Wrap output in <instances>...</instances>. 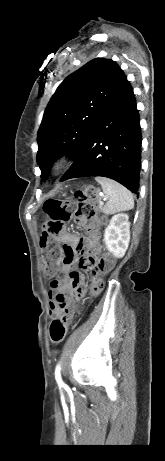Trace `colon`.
Returning <instances> with one entry per match:
<instances>
[{
  "mask_svg": "<svg viewBox=\"0 0 165 461\" xmlns=\"http://www.w3.org/2000/svg\"><path fill=\"white\" fill-rule=\"evenodd\" d=\"M96 197V190L93 187H86L77 190L74 200L51 199L44 204V212L49 216L42 226L41 246L44 248L43 259L45 263V274L47 277L55 275V269L60 262L61 251L69 250V245H61L58 238L63 232V225L74 214L81 219H93L94 209L90 201ZM107 222L105 217L99 219L101 225ZM90 266H95L99 270L108 271L112 268L113 259L109 255L90 257ZM103 288V281L94 277L90 292L93 296L97 295ZM50 339L54 344L61 343L67 334V325L63 318H55L50 325Z\"/></svg>",
  "mask_w": 165,
  "mask_h": 461,
  "instance_id": "5ec220e1",
  "label": "colon"
}]
</instances>
